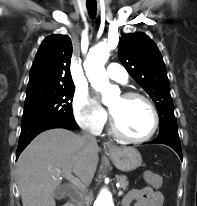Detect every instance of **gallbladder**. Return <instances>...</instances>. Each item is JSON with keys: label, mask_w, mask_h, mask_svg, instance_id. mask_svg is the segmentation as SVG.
Returning a JSON list of instances; mask_svg holds the SVG:
<instances>
[{"label": "gallbladder", "mask_w": 197, "mask_h": 206, "mask_svg": "<svg viewBox=\"0 0 197 206\" xmlns=\"http://www.w3.org/2000/svg\"><path fill=\"white\" fill-rule=\"evenodd\" d=\"M54 196L58 200L64 198V191H63V189L61 187L56 188L55 191H54Z\"/></svg>", "instance_id": "1"}]
</instances>
